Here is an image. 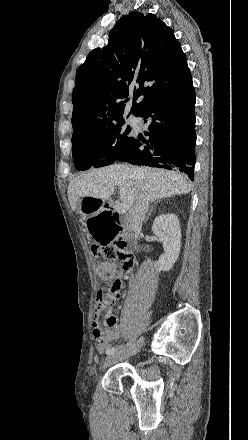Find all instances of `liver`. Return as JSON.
Returning <instances> with one entry per match:
<instances>
[{
  "instance_id": "1",
  "label": "liver",
  "mask_w": 248,
  "mask_h": 440,
  "mask_svg": "<svg viewBox=\"0 0 248 440\" xmlns=\"http://www.w3.org/2000/svg\"><path fill=\"white\" fill-rule=\"evenodd\" d=\"M132 169H136L137 174L134 175ZM115 187H119L120 200L126 210L132 209L140 192H144L152 202L163 197L188 194L191 191L188 178L181 173L159 168L113 164L92 169L73 179L67 191L70 206L75 211L77 202L84 197L106 200L114 193Z\"/></svg>"
}]
</instances>
